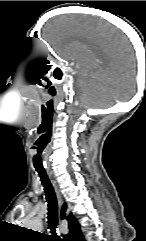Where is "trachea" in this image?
<instances>
[{
    "label": "trachea",
    "instance_id": "obj_1",
    "mask_svg": "<svg viewBox=\"0 0 146 241\" xmlns=\"http://www.w3.org/2000/svg\"><path fill=\"white\" fill-rule=\"evenodd\" d=\"M36 171L38 172V175L44 187L46 200L48 203V225H49L50 232L53 235L50 237V239L52 241H62V239L59 236H57V233H56V228L58 225V206H57L56 194L46 174V171L44 169H38V168H36Z\"/></svg>",
    "mask_w": 146,
    "mask_h": 241
}]
</instances>
